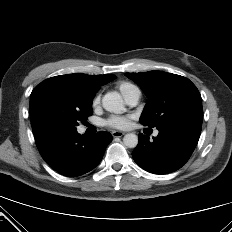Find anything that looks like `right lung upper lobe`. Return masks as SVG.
Instances as JSON below:
<instances>
[{"instance_id":"cb5924a9","label":"right lung upper lobe","mask_w":232,"mask_h":232,"mask_svg":"<svg viewBox=\"0 0 232 232\" xmlns=\"http://www.w3.org/2000/svg\"><path fill=\"white\" fill-rule=\"evenodd\" d=\"M60 77L70 78L84 83L88 89L96 94V92L100 89L101 85H104L111 80H113L116 76L107 74V75H86L81 73L69 74V75H60Z\"/></svg>"}]
</instances>
